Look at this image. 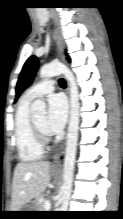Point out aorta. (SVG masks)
I'll list each match as a JSON object with an SVG mask.
<instances>
[{"instance_id":"1","label":"aorta","mask_w":123,"mask_h":219,"mask_svg":"<svg viewBox=\"0 0 123 219\" xmlns=\"http://www.w3.org/2000/svg\"><path fill=\"white\" fill-rule=\"evenodd\" d=\"M60 74L65 76L70 86V119L63 165V198L67 200L71 194L79 129L78 87L73 73L62 63L52 62L44 65L40 69L41 78H51ZM31 111L34 114H44L46 111V103L39 99L35 100L31 105Z\"/></svg>"}]
</instances>
